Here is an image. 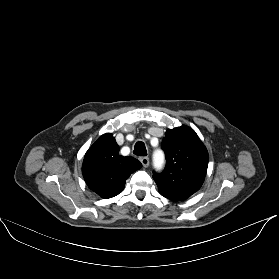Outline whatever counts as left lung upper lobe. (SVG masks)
I'll list each match as a JSON object with an SVG mask.
<instances>
[{"label": "left lung upper lobe", "instance_id": "obj_1", "mask_svg": "<svg viewBox=\"0 0 279 279\" xmlns=\"http://www.w3.org/2000/svg\"><path fill=\"white\" fill-rule=\"evenodd\" d=\"M162 149L166 167L153 178L159 193L174 201L185 200L200 189L208 167V151L197 134L187 126L169 129Z\"/></svg>", "mask_w": 279, "mask_h": 279}]
</instances>
